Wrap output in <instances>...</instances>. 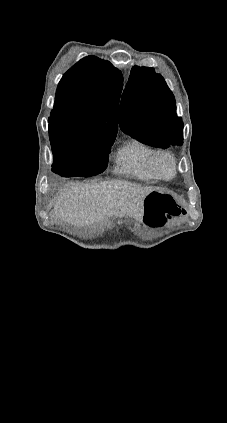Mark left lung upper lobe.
I'll return each instance as SVG.
<instances>
[{
	"mask_svg": "<svg viewBox=\"0 0 227 423\" xmlns=\"http://www.w3.org/2000/svg\"><path fill=\"white\" fill-rule=\"evenodd\" d=\"M175 98L153 68L134 66L122 94L120 128L140 142L159 148L181 146L183 122Z\"/></svg>",
	"mask_w": 227,
	"mask_h": 423,
	"instance_id": "5c2ea615",
	"label": "left lung upper lobe"
}]
</instances>
